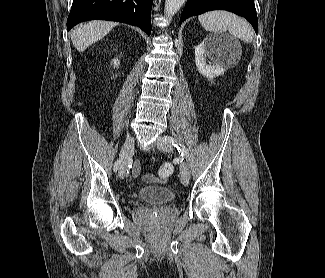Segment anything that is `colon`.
<instances>
[{
    "label": "colon",
    "mask_w": 325,
    "mask_h": 278,
    "mask_svg": "<svg viewBox=\"0 0 325 278\" xmlns=\"http://www.w3.org/2000/svg\"><path fill=\"white\" fill-rule=\"evenodd\" d=\"M173 171H174V167L171 163L169 162L164 163L158 170V178L161 180H166L173 174ZM145 180L153 181L154 178L151 176H146Z\"/></svg>",
    "instance_id": "1"
}]
</instances>
